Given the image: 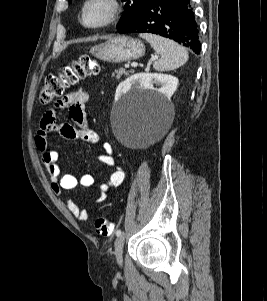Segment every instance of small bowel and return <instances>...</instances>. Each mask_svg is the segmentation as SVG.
<instances>
[{
	"label": "small bowel",
	"mask_w": 267,
	"mask_h": 301,
	"mask_svg": "<svg viewBox=\"0 0 267 301\" xmlns=\"http://www.w3.org/2000/svg\"><path fill=\"white\" fill-rule=\"evenodd\" d=\"M88 100L89 93L83 88H78L66 94L53 108L47 110L40 121V127L35 139L36 147L41 154L51 188L57 195L78 186L90 187L94 183V179L90 174H82L79 177L72 174H62L57 164L58 152L48 142L49 135L60 136L67 140L81 139L92 144L99 142L98 134L89 126L86 118L85 106ZM60 109H67L72 123L59 124L57 122L58 110ZM97 158L105 166L114 169L109 178L99 187L100 192L97 202H102L106 199L107 192L111 188L118 187L123 183L125 171L116 163L112 147L107 142L103 144V150L98 154ZM66 205L76 219L80 221L89 219L88 212L71 199L66 201Z\"/></svg>",
	"instance_id": "c3829d8e"
}]
</instances>
